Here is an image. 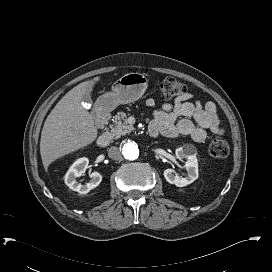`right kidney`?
I'll return each instance as SVG.
<instances>
[{
    "instance_id": "obj_1",
    "label": "right kidney",
    "mask_w": 272,
    "mask_h": 272,
    "mask_svg": "<svg viewBox=\"0 0 272 272\" xmlns=\"http://www.w3.org/2000/svg\"><path fill=\"white\" fill-rule=\"evenodd\" d=\"M89 160L88 158H80L76 160L69 170L67 171L66 175L64 176V181L67 186L73 191L78 192L79 194H86L90 190L97 187L100 182L102 181V176L99 172H92L89 174L90 181L85 185H82L77 182L76 178L80 177L83 173H85L86 169L88 168Z\"/></svg>"
}]
</instances>
